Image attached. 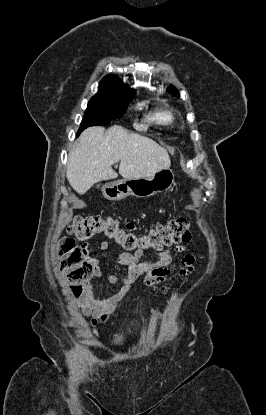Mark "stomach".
Listing matches in <instances>:
<instances>
[{"mask_svg":"<svg viewBox=\"0 0 266 415\" xmlns=\"http://www.w3.org/2000/svg\"><path fill=\"white\" fill-rule=\"evenodd\" d=\"M175 181L172 169L165 168L152 177L124 178L116 182L106 183L102 187L104 198L110 201L123 200L128 196L148 198L157 193L169 190Z\"/></svg>","mask_w":266,"mask_h":415,"instance_id":"1","label":"stomach"}]
</instances>
